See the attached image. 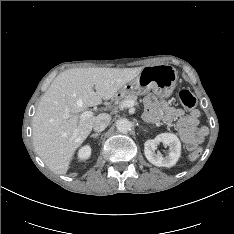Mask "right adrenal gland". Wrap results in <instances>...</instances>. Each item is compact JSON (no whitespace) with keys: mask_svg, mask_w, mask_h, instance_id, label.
I'll use <instances>...</instances> for the list:
<instances>
[{"mask_svg":"<svg viewBox=\"0 0 234 234\" xmlns=\"http://www.w3.org/2000/svg\"><path fill=\"white\" fill-rule=\"evenodd\" d=\"M100 136V133H95V134H92L90 137L91 138H98Z\"/></svg>","mask_w":234,"mask_h":234,"instance_id":"2a0ac1e0","label":"right adrenal gland"}]
</instances>
